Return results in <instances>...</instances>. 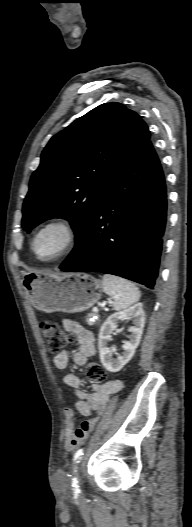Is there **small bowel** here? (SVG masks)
Listing matches in <instances>:
<instances>
[{
  "mask_svg": "<svg viewBox=\"0 0 192 527\" xmlns=\"http://www.w3.org/2000/svg\"><path fill=\"white\" fill-rule=\"evenodd\" d=\"M63 326L67 331L73 333L78 340L79 347L77 351L70 356L67 351H60L54 357V364L58 369L64 370L69 366L70 360L77 366H83L87 359L95 353V341L93 333L82 327L74 320L64 319ZM64 383L75 391L78 398L76 410L83 416H90L93 411H100L107 403L109 396L122 387L119 380H108L103 384H95L91 393L83 390L81 378L74 374L68 373L63 378ZM96 420L84 421L80 427L75 428V411L71 408L65 410V432L64 444L69 451L74 450L87 437L92 430Z\"/></svg>",
  "mask_w": 192,
  "mask_h": 527,
  "instance_id": "obj_1",
  "label": "small bowel"
}]
</instances>
